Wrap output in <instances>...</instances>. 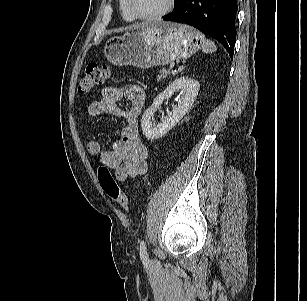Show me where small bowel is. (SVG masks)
<instances>
[{"label":"small bowel","mask_w":307,"mask_h":301,"mask_svg":"<svg viewBox=\"0 0 307 301\" xmlns=\"http://www.w3.org/2000/svg\"><path fill=\"white\" fill-rule=\"evenodd\" d=\"M122 100L129 102V110L119 107ZM144 102V90L138 85L123 88L108 86L102 91V97L92 101L87 109L91 118L109 114L125 121L121 137L112 150H104L96 139L90 140L87 145L88 152L97 156L100 164L114 170L115 178L120 182L143 175L148 169V149L139 138L136 126V118L142 112Z\"/></svg>","instance_id":"small-bowel-1"}]
</instances>
